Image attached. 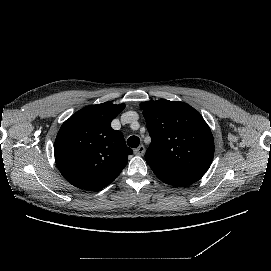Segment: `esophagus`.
<instances>
[{
    "instance_id": "34e87169",
    "label": "esophagus",
    "mask_w": 271,
    "mask_h": 271,
    "mask_svg": "<svg viewBox=\"0 0 271 271\" xmlns=\"http://www.w3.org/2000/svg\"><path fill=\"white\" fill-rule=\"evenodd\" d=\"M145 153V146L140 145L138 148L134 149V154L137 156H142Z\"/></svg>"
}]
</instances>
